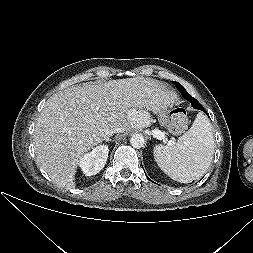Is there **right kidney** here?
<instances>
[{"label": "right kidney", "instance_id": "obj_1", "mask_svg": "<svg viewBox=\"0 0 253 253\" xmlns=\"http://www.w3.org/2000/svg\"><path fill=\"white\" fill-rule=\"evenodd\" d=\"M109 149L106 145L95 147L90 153L85 154L79 162L83 173L86 176L96 175L100 172L107 161Z\"/></svg>", "mask_w": 253, "mask_h": 253}]
</instances>
